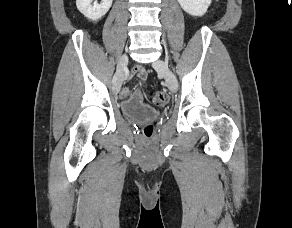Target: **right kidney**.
Here are the masks:
<instances>
[{
    "label": "right kidney",
    "instance_id": "right-kidney-1",
    "mask_svg": "<svg viewBox=\"0 0 292 228\" xmlns=\"http://www.w3.org/2000/svg\"><path fill=\"white\" fill-rule=\"evenodd\" d=\"M76 0L78 10L88 19L97 21L101 19L110 9L113 0H101L98 4L95 0Z\"/></svg>",
    "mask_w": 292,
    "mask_h": 228
}]
</instances>
